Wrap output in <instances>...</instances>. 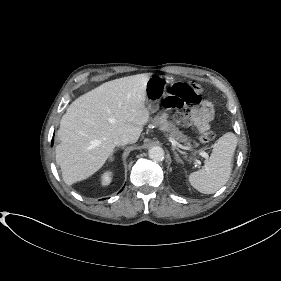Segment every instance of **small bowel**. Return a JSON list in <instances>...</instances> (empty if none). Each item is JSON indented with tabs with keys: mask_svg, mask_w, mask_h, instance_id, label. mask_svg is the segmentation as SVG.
I'll return each mask as SVG.
<instances>
[{
	"mask_svg": "<svg viewBox=\"0 0 281 281\" xmlns=\"http://www.w3.org/2000/svg\"><path fill=\"white\" fill-rule=\"evenodd\" d=\"M195 125L199 132L209 129V124L214 117V110L210 102L203 101L201 106L192 111Z\"/></svg>",
	"mask_w": 281,
	"mask_h": 281,
	"instance_id": "obj_1",
	"label": "small bowel"
}]
</instances>
